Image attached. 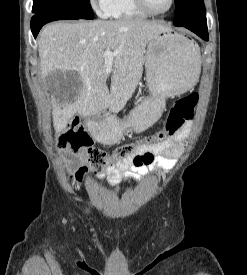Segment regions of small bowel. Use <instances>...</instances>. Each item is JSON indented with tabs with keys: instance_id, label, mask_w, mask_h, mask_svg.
<instances>
[{
	"instance_id": "small-bowel-1",
	"label": "small bowel",
	"mask_w": 247,
	"mask_h": 275,
	"mask_svg": "<svg viewBox=\"0 0 247 275\" xmlns=\"http://www.w3.org/2000/svg\"><path fill=\"white\" fill-rule=\"evenodd\" d=\"M189 130L190 122L174 137L157 144L141 147L137 153L141 157L138 162L134 158L109 162L105 171L98 175V179H106L110 186H115L125 179L140 180L149 173L155 172L156 167L171 168L175 163V158L185 145ZM64 159L69 180L75 186L80 185L88 172L84 165L83 154L66 152Z\"/></svg>"
}]
</instances>
